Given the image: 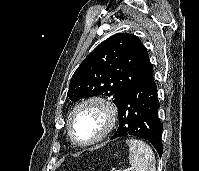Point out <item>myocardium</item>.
Returning <instances> with one entry per match:
<instances>
[{"label": "myocardium", "mask_w": 199, "mask_h": 171, "mask_svg": "<svg viewBox=\"0 0 199 171\" xmlns=\"http://www.w3.org/2000/svg\"><path fill=\"white\" fill-rule=\"evenodd\" d=\"M86 106H95L97 107L104 115L105 118V126L101 133L91 141L82 142L79 141L72 129V120L75 114L83 107ZM117 120V110L114 104L100 96H89L80 101H78L67 116V131L70 139L73 143L81 147L92 146L100 141H102L108 134L113 130Z\"/></svg>", "instance_id": "myocardium-1"}]
</instances>
